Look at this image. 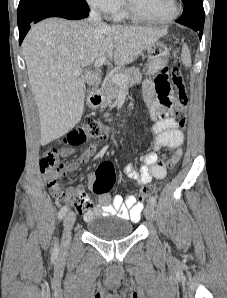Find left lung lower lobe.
<instances>
[{
    "mask_svg": "<svg viewBox=\"0 0 227 298\" xmlns=\"http://www.w3.org/2000/svg\"><path fill=\"white\" fill-rule=\"evenodd\" d=\"M185 26L193 29L196 32H199V35H200V38H201L202 33H203V26H204L203 24H199V23H196V22H189V23H186Z\"/></svg>",
    "mask_w": 227,
    "mask_h": 298,
    "instance_id": "1",
    "label": "left lung lower lobe"
}]
</instances>
